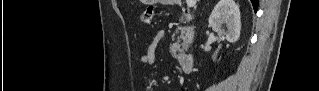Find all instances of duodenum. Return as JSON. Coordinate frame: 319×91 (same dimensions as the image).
I'll use <instances>...</instances> for the list:
<instances>
[{"instance_id":"1","label":"duodenum","mask_w":319,"mask_h":91,"mask_svg":"<svg viewBox=\"0 0 319 91\" xmlns=\"http://www.w3.org/2000/svg\"><path fill=\"white\" fill-rule=\"evenodd\" d=\"M177 62L184 72H190L193 68L194 56L191 53H182L177 56Z\"/></svg>"}]
</instances>
